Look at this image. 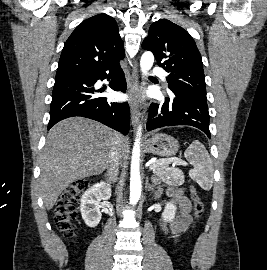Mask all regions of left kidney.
<instances>
[{"label":"left kidney","instance_id":"obj_1","mask_svg":"<svg viewBox=\"0 0 267 270\" xmlns=\"http://www.w3.org/2000/svg\"><path fill=\"white\" fill-rule=\"evenodd\" d=\"M176 206L172 203L169 202L167 203L163 213H162V218L165 222H171L175 218V213H176Z\"/></svg>","mask_w":267,"mask_h":270}]
</instances>
